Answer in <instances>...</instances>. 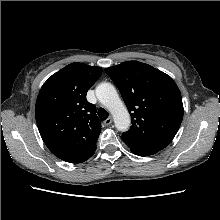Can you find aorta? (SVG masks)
Returning <instances> with one entry per match:
<instances>
[{
	"label": "aorta",
	"mask_w": 220,
	"mask_h": 220,
	"mask_svg": "<svg viewBox=\"0 0 220 220\" xmlns=\"http://www.w3.org/2000/svg\"><path fill=\"white\" fill-rule=\"evenodd\" d=\"M95 93L98 100L111 112L117 130H128L131 123L130 115L115 87L104 82L96 87Z\"/></svg>",
	"instance_id": "aorta-1"
}]
</instances>
